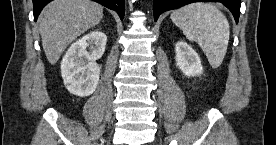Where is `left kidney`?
<instances>
[{"label": "left kidney", "instance_id": "left-kidney-1", "mask_svg": "<svg viewBox=\"0 0 276 145\" xmlns=\"http://www.w3.org/2000/svg\"><path fill=\"white\" fill-rule=\"evenodd\" d=\"M175 53L176 66L184 75L193 77L202 74L203 67L200 57L190 45L184 41L177 42L175 45Z\"/></svg>", "mask_w": 276, "mask_h": 145}]
</instances>
